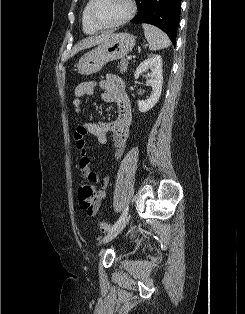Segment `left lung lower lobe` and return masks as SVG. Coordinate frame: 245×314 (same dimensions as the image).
<instances>
[{
    "label": "left lung lower lobe",
    "instance_id": "left-lung-lower-lobe-1",
    "mask_svg": "<svg viewBox=\"0 0 245 314\" xmlns=\"http://www.w3.org/2000/svg\"><path fill=\"white\" fill-rule=\"evenodd\" d=\"M138 15L133 23H148L167 33L172 43L176 42L180 20V0H138Z\"/></svg>",
    "mask_w": 245,
    "mask_h": 314
}]
</instances>
